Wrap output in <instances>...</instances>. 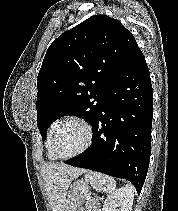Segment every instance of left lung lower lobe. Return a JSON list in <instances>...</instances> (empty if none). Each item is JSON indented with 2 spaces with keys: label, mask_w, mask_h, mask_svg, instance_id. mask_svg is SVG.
<instances>
[{
  "label": "left lung lower lobe",
  "mask_w": 178,
  "mask_h": 211,
  "mask_svg": "<svg viewBox=\"0 0 178 211\" xmlns=\"http://www.w3.org/2000/svg\"><path fill=\"white\" fill-rule=\"evenodd\" d=\"M153 89L137 46L104 94L92 146L65 163L129 180L140 193L151 153Z\"/></svg>",
  "instance_id": "left-lung-lower-lobe-1"
}]
</instances>
